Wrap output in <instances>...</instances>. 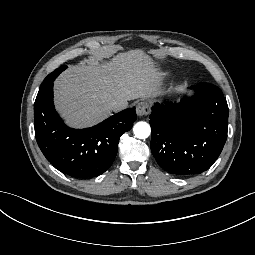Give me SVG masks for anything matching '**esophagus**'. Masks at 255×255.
Masks as SVG:
<instances>
[{
  "label": "esophagus",
  "instance_id": "obj_1",
  "mask_svg": "<svg viewBox=\"0 0 255 255\" xmlns=\"http://www.w3.org/2000/svg\"><path fill=\"white\" fill-rule=\"evenodd\" d=\"M150 104L148 103V101H141L138 103L137 108H136V112L137 115L139 116H145L147 114L150 113Z\"/></svg>",
  "mask_w": 255,
  "mask_h": 255
}]
</instances>
